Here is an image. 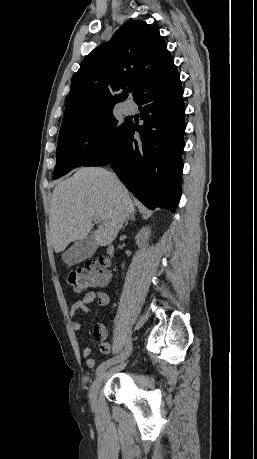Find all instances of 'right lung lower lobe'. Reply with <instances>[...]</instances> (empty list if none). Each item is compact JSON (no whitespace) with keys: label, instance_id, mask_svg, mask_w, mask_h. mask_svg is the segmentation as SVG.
<instances>
[{"label":"right lung lower lobe","instance_id":"98d812e1","mask_svg":"<svg viewBox=\"0 0 257 459\" xmlns=\"http://www.w3.org/2000/svg\"><path fill=\"white\" fill-rule=\"evenodd\" d=\"M178 73L136 103L142 126L128 122L113 146L83 166L111 164L129 191L148 209L175 212L181 195L185 107ZM138 131L140 138H134Z\"/></svg>","mask_w":257,"mask_h":459}]
</instances>
